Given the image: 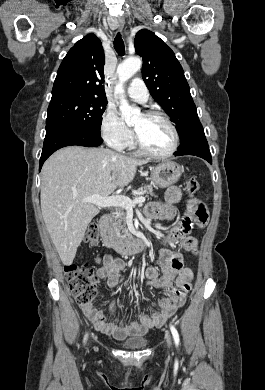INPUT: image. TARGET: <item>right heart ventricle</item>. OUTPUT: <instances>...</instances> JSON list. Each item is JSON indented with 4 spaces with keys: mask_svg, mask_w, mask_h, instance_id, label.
<instances>
[{
    "mask_svg": "<svg viewBox=\"0 0 265 390\" xmlns=\"http://www.w3.org/2000/svg\"><path fill=\"white\" fill-rule=\"evenodd\" d=\"M130 149H135L136 146H135V143L131 140L130 143L128 144V146Z\"/></svg>",
    "mask_w": 265,
    "mask_h": 390,
    "instance_id": "1",
    "label": "right heart ventricle"
}]
</instances>
